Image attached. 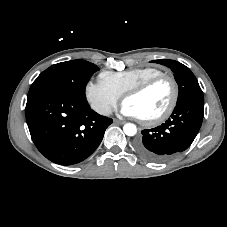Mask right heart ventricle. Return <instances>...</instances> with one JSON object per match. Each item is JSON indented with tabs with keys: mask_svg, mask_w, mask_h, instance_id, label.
<instances>
[{
	"mask_svg": "<svg viewBox=\"0 0 227 227\" xmlns=\"http://www.w3.org/2000/svg\"><path fill=\"white\" fill-rule=\"evenodd\" d=\"M162 73L161 69L149 66L126 71H104L100 74V81L117 95L122 96L132 87Z\"/></svg>",
	"mask_w": 227,
	"mask_h": 227,
	"instance_id": "1",
	"label": "right heart ventricle"
}]
</instances>
